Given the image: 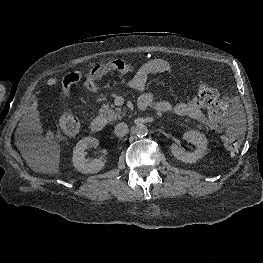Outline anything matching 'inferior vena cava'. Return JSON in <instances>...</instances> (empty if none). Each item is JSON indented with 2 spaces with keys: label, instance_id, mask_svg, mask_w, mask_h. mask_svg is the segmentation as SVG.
Segmentation results:
<instances>
[{
  "label": "inferior vena cava",
  "instance_id": "1",
  "mask_svg": "<svg viewBox=\"0 0 263 263\" xmlns=\"http://www.w3.org/2000/svg\"><path fill=\"white\" fill-rule=\"evenodd\" d=\"M114 132L118 137H123L128 133V125L123 122L119 123L115 126Z\"/></svg>",
  "mask_w": 263,
  "mask_h": 263
}]
</instances>
